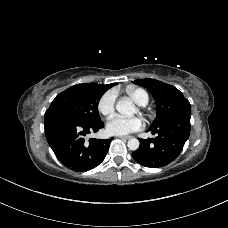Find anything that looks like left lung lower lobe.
Listing matches in <instances>:
<instances>
[{"mask_svg":"<svg viewBox=\"0 0 228 228\" xmlns=\"http://www.w3.org/2000/svg\"><path fill=\"white\" fill-rule=\"evenodd\" d=\"M190 117V114H184L159 127L150 128L156 137L140 140V147L132 153L135 161L150 168L163 167L174 161L189 137ZM177 120L181 123V128L176 131Z\"/></svg>","mask_w":228,"mask_h":228,"instance_id":"obj_1","label":"left lung lower lobe"}]
</instances>
